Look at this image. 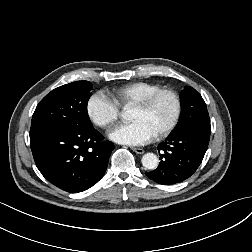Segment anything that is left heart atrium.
<instances>
[{"instance_id":"obj_1","label":"left heart atrium","mask_w":252,"mask_h":252,"mask_svg":"<svg viewBox=\"0 0 252 252\" xmlns=\"http://www.w3.org/2000/svg\"><path fill=\"white\" fill-rule=\"evenodd\" d=\"M155 132L142 120L120 124L109 132V137L120 144L142 145L149 142Z\"/></svg>"}]
</instances>
